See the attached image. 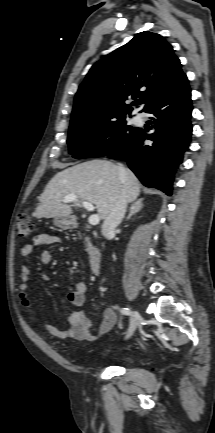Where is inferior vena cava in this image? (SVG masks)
<instances>
[{"mask_svg":"<svg viewBox=\"0 0 215 433\" xmlns=\"http://www.w3.org/2000/svg\"><path fill=\"white\" fill-rule=\"evenodd\" d=\"M119 173L121 176L125 174V169L119 167ZM127 208V198L125 192L122 191L116 201L114 202L111 211L105 218L102 224V234L108 238L114 234L115 228L121 223L124 218Z\"/></svg>","mask_w":215,"mask_h":433,"instance_id":"inferior-vena-cava-1","label":"inferior vena cava"}]
</instances>
